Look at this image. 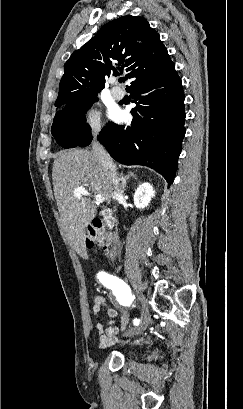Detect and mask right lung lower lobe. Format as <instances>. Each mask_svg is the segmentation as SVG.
<instances>
[{
	"mask_svg": "<svg viewBox=\"0 0 243 409\" xmlns=\"http://www.w3.org/2000/svg\"><path fill=\"white\" fill-rule=\"evenodd\" d=\"M137 104L131 126L109 123L98 139L118 162L145 165L172 184L185 135L184 92L175 65L128 89ZM92 137L79 146L90 144Z\"/></svg>",
	"mask_w": 243,
	"mask_h": 409,
	"instance_id": "98d812e1",
	"label": "right lung lower lobe"
}]
</instances>
